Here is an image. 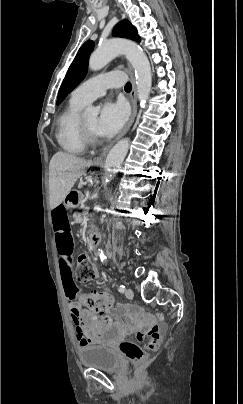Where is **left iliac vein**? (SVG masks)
Here are the masks:
<instances>
[{
    "label": "left iliac vein",
    "instance_id": "obj_1",
    "mask_svg": "<svg viewBox=\"0 0 243 404\" xmlns=\"http://www.w3.org/2000/svg\"><path fill=\"white\" fill-rule=\"evenodd\" d=\"M125 295L127 298H132L134 295L132 289H130V288L126 289Z\"/></svg>",
    "mask_w": 243,
    "mask_h": 404
}]
</instances>
